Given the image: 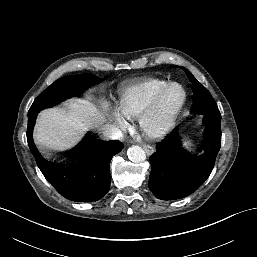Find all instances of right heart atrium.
<instances>
[{
  "instance_id": "right-heart-atrium-1",
  "label": "right heart atrium",
  "mask_w": 257,
  "mask_h": 257,
  "mask_svg": "<svg viewBox=\"0 0 257 257\" xmlns=\"http://www.w3.org/2000/svg\"><path fill=\"white\" fill-rule=\"evenodd\" d=\"M115 116V123L119 128H124L126 126V121L125 119L117 112H114Z\"/></svg>"
}]
</instances>
